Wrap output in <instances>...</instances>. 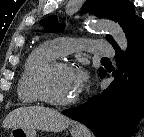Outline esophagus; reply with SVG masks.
Segmentation results:
<instances>
[{"mask_svg":"<svg viewBox=\"0 0 144 137\" xmlns=\"http://www.w3.org/2000/svg\"><path fill=\"white\" fill-rule=\"evenodd\" d=\"M77 127H79V128H80L81 126H80V125H77Z\"/></svg>","mask_w":144,"mask_h":137,"instance_id":"obj_1","label":"esophagus"}]
</instances>
